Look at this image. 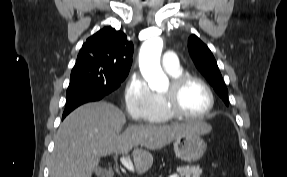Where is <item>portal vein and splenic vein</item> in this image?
<instances>
[{
	"label": "portal vein and splenic vein",
	"mask_w": 287,
	"mask_h": 177,
	"mask_svg": "<svg viewBox=\"0 0 287 177\" xmlns=\"http://www.w3.org/2000/svg\"><path fill=\"white\" fill-rule=\"evenodd\" d=\"M121 164L130 172H134L135 168L129 156H122L120 158ZM172 177H179L177 174L173 175Z\"/></svg>",
	"instance_id": "1"
}]
</instances>
